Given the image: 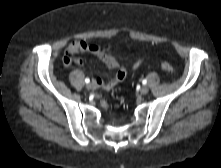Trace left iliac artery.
<instances>
[{
	"instance_id": "1",
	"label": "left iliac artery",
	"mask_w": 221,
	"mask_h": 168,
	"mask_svg": "<svg viewBox=\"0 0 221 168\" xmlns=\"http://www.w3.org/2000/svg\"><path fill=\"white\" fill-rule=\"evenodd\" d=\"M142 83L145 85V84L147 83V80L144 79V80L142 81Z\"/></svg>"
}]
</instances>
